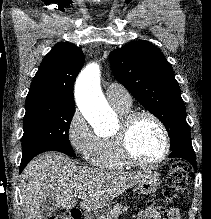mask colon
<instances>
[{
    "instance_id": "obj_1",
    "label": "colon",
    "mask_w": 211,
    "mask_h": 219,
    "mask_svg": "<svg viewBox=\"0 0 211 219\" xmlns=\"http://www.w3.org/2000/svg\"><path fill=\"white\" fill-rule=\"evenodd\" d=\"M187 167L183 162H175L168 173L167 182L163 187V195L167 204H176L185 192ZM49 219H81V212L71 210L63 215L52 216Z\"/></svg>"
}]
</instances>
